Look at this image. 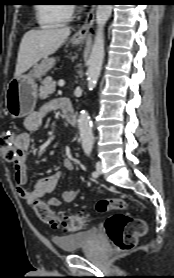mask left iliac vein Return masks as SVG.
Segmentation results:
<instances>
[{"mask_svg":"<svg viewBox=\"0 0 174 278\" xmlns=\"http://www.w3.org/2000/svg\"><path fill=\"white\" fill-rule=\"evenodd\" d=\"M96 172L98 173V175H100L102 173V162L98 161L96 163Z\"/></svg>","mask_w":174,"mask_h":278,"instance_id":"left-iliac-vein-1","label":"left iliac vein"}]
</instances>
